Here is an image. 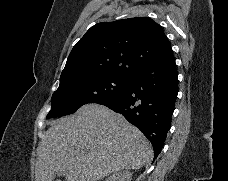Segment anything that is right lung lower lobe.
<instances>
[{
	"label": "right lung lower lobe",
	"instance_id": "1",
	"mask_svg": "<svg viewBox=\"0 0 228 181\" xmlns=\"http://www.w3.org/2000/svg\"><path fill=\"white\" fill-rule=\"evenodd\" d=\"M178 94V73L173 53L152 62L133 74L124 92L105 102L138 127L151 141L154 159L160 154Z\"/></svg>",
	"mask_w": 228,
	"mask_h": 181
}]
</instances>
